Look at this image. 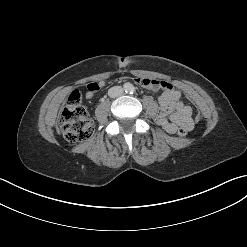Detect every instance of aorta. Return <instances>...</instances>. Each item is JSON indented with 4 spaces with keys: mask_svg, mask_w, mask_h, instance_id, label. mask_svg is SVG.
Returning <instances> with one entry per match:
<instances>
[{
    "mask_svg": "<svg viewBox=\"0 0 247 247\" xmlns=\"http://www.w3.org/2000/svg\"><path fill=\"white\" fill-rule=\"evenodd\" d=\"M124 87L126 90H130L132 88V85L130 83H126Z\"/></svg>",
    "mask_w": 247,
    "mask_h": 247,
    "instance_id": "1",
    "label": "aorta"
}]
</instances>
